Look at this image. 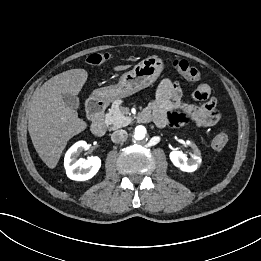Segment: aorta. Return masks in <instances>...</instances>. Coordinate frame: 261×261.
Wrapping results in <instances>:
<instances>
[{
  "instance_id": "762f6f07",
  "label": "aorta",
  "mask_w": 261,
  "mask_h": 261,
  "mask_svg": "<svg viewBox=\"0 0 261 261\" xmlns=\"http://www.w3.org/2000/svg\"><path fill=\"white\" fill-rule=\"evenodd\" d=\"M146 134H147V131H146V128H145L144 126H137V127L134 129L133 138H134L136 141H142V140L145 139Z\"/></svg>"
}]
</instances>
